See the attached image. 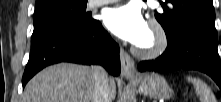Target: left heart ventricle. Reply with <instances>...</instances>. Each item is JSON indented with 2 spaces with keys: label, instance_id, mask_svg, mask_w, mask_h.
<instances>
[{
  "label": "left heart ventricle",
  "instance_id": "obj_1",
  "mask_svg": "<svg viewBox=\"0 0 221 102\" xmlns=\"http://www.w3.org/2000/svg\"><path fill=\"white\" fill-rule=\"evenodd\" d=\"M153 42V35L152 33L150 32V30L148 29L145 37L143 38V40L141 41V43L139 44L140 46H150Z\"/></svg>",
  "mask_w": 221,
  "mask_h": 102
}]
</instances>
